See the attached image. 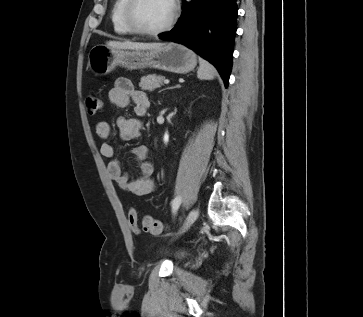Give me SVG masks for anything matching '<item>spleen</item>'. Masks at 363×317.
<instances>
[{"instance_id": "spleen-1", "label": "spleen", "mask_w": 363, "mask_h": 317, "mask_svg": "<svg viewBox=\"0 0 363 317\" xmlns=\"http://www.w3.org/2000/svg\"><path fill=\"white\" fill-rule=\"evenodd\" d=\"M216 70L208 61L203 58H199V69L197 71V77L201 80H211L214 78Z\"/></svg>"}]
</instances>
